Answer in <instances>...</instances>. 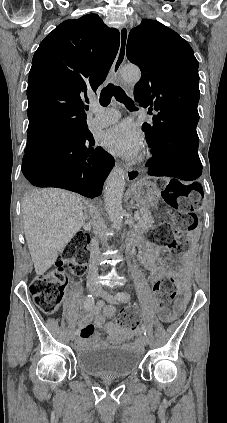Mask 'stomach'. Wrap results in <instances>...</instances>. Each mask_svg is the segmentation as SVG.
Listing matches in <instances>:
<instances>
[{
  "instance_id": "stomach-1",
  "label": "stomach",
  "mask_w": 227,
  "mask_h": 423,
  "mask_svg": "<svg viewBox=\"0 0 227 423\" xmlns=\"http://www.w3.org/2000/svg\"><path fill=\"white\" fill-rule=\"evenodd\" d=\"M131 194L140 206H155L161 198L156 184L148 182L147 178H142L133 184Z\"/></svg>"
}]
</instances>
